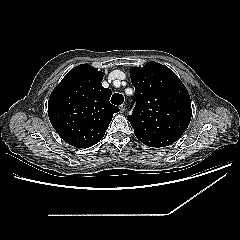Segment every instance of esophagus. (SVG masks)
<instances>
[{"label": "esophagus", "instance_id": "esophagus-1", "mask_svg": "<svg viewBox=\"0 0 240 240\" xmlns=\"http://www.w3.org/2000/svg\"><path fill=\"white\" fill-rule=\"evenodd\" d=\"M119 109L121 113H124L126 109V105L125 104L120 105Z\"/></svg>", "mask_w": 240, "mask_h": 240}]
</instances>
